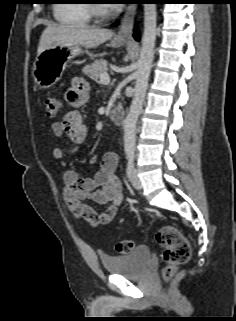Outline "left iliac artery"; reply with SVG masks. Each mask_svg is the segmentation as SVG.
Masks as SVG:
<instances>
[{
    "label": "left iliac artery",
    "instance_id": "obj_1",
    "mask_svg": "<svg viewBox=\"0 0 236 321\" xmlns=\"http://www.w3.org/2000/svg\"><path fill=\"white\" fill-rule=\"evenodd\" d=\"M133 161H134V153L130 152L128 153V163H127V169H126V174L127 177H130L132 169H133Z\"/></svg>",
    "mask_w": 236,
    "mask_h": 321
}]
</instances>
